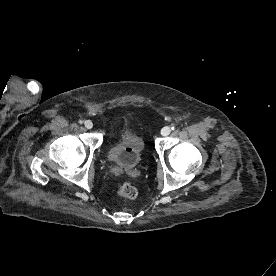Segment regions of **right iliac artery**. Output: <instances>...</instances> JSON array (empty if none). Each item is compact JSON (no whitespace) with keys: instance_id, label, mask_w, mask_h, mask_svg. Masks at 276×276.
Here are the masks:
<instances>
[{"instance_id":"obj_1","label":"right iliac artery","mask_w":276,"mask_h":276,"mask_svg":"<svg viewBox=\"0 0 276 276\" xmlns=\"http://www.w3.org/2000/svg\"><path fill=\"white\" fill-rule=\"evenodd\" d=\"M78 122H79V124H82V123H83V120H79Z\"/></svg>"}]
</instances>
